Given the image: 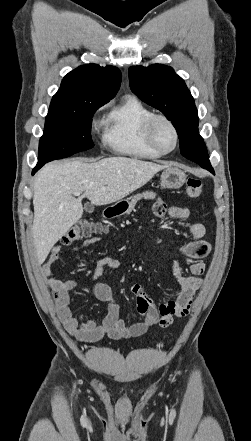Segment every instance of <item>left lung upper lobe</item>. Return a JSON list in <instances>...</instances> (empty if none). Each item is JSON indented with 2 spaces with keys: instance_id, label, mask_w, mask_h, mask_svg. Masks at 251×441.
<instances>
[{
  "instance_id": "left-lung-upper-lobe-1",
  "label": "left lung upper lobe",
  "mask_w": 251,
  "mask_h": 441,
  "mask_svg": "<svg viewBox=\"0 0 251 441\" xmlns=\"http://www.w3.org/2000/svg\"><path fill=\"white\" fill-rule=\"evenodd\" d=\"M129 83L134 94L172 122L182 156L198 164L205 163L206 147L198 134V112L184 80L171 67L154 64L130 67Z\"/></svg>"
}]
</instances>
